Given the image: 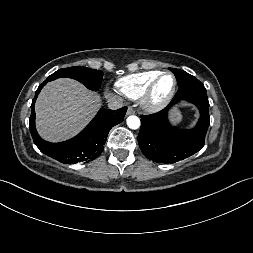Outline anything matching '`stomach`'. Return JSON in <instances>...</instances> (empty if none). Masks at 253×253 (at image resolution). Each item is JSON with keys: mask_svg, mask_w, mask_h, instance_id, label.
<instances>
[{"mask_svg": "<svg viewBox=\"0 0 253 253\" xmlns=\"http://www.w3.org/2000/svg\"><path fill=\"white\" fill-rule=\"evenodd\" d=\"M171 118H172V121H173L174 124L180 123L181 120H182V116H181L180 111H179V110H175V111L172 113Z\"/></svg>", "mask_w": 253, "mask_h": 253, "instance_id": "1", "label": "stomach"}]
</instances>
